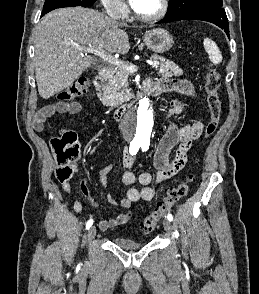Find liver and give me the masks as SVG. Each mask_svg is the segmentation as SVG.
<instances>
[{"instance_id": "liver-1", "label": "liver", "mask_w": 259, "mask_h": 294, "mask_svg": "<svg viewBox=\"0 0 259 294\" xmlns=\"http://www.w3.org/2000/svg\"><path fill=\"white\" fill-rule=\"evenodd\" d=\"M104 13L68 7L45 15L35 29V76L39 95L48 99L70 87L96 63L80 48L92 45L108 53L126 54L127 33Z\"/></svg>"}]
</instances>
